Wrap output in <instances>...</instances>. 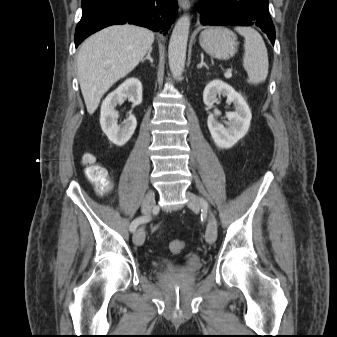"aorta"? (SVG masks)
Returning a JSON list of instances; mask_svg holds the SVG:
<instances>
[{"label": "aorta", "mask_w": 337, "mask_h": 337, "mask_svg": "<svg viewBox=\"0 0 337 337\" xmlns=\"http://www.w3.org/2000/svg\"><path fill=\"white\" fill-rule=\"evenodd\" d=\"M189 28L190 17L186 14L178 19L171 34L168 59L170 71L174 77L181 76L184 71Z\"/></svg>", "instance_id": "obj_1"}]
</instances>
